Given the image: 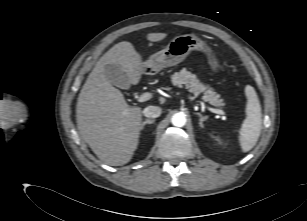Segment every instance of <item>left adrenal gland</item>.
I'll return each instance as SVG.
<instances>
[{"instance_id":"1","label":"left adrenal gland","mask_w":307,"mask_h":221,"mask_svg":"<svg viewBox=\"0 0 307 221\" xmlns=\"http://www.w3.org/2000/svg\"><path fill=\"white\" fill-rule=\"evenodd\" d=\"M199 116V126L204 127L203 122L207 120V116H203L201 113H196Z\"/></svg>"}]
</instances>
